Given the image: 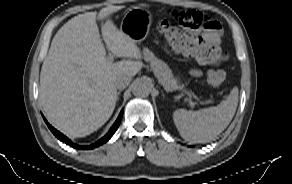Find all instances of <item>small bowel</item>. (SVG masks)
<instances>
[{
	"label": "small bowel",
	"instance_id": "c3829d8e",
	"mask_svg": "<svg viewBox=\"0 0 292 184\" xmlns=\"http://www.w3.org/2000/svg\"><path fill=\"white\" fill-rule=\"evenodd\" d=\"M215 23L217 24L215 29L201 28L197 30V32L203 37L204 40L209 41L215 45H219L221 42L222 30L219 22L216 21ZM192 73L194 75H200V71L197 69H193Z\"/></svg>",
	"mask_w": 292,
	"mask_h": 184
}]
</instances>
